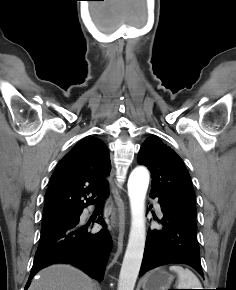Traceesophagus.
<instances>
[{"instance_id": "esophagus-1", "label": "esophagus", "mask_w": 236, "mask_h": 290, "mask_svg": "<svg viewBox=\"0 0 236 290\" xmlns=\"http://www.w3.org/2000/svg\"><path fill=\"white\" fill-rule=\"evenodd\" d=\"M117 221V217L115 215H113L112 217V225H114Z\"/></svg>"}]
</instances>
